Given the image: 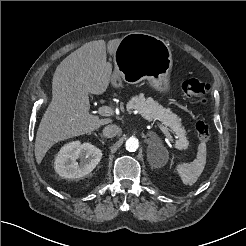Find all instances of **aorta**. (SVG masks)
Returning a JSON list of instances; mask_svg holds the SVG:
<instances>
[{
  "label": "aorta",
  "mask_w": 246,
  "mask_h": 246,
  "mask_svg": "<svg viewBox=\"0 0 246 246\" xmlns=\"http://www.w3.org/2000/svg\"><path fill=\"white\" fill-rule=\"evenodd\" d=\"M125 146L127 151L135 152L139 148V141L134 137H130L126 140Z\"/></svg>",
  "instance_id": "762f6f07"
}]
</instances>
